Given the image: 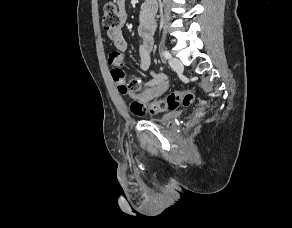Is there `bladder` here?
Instances as JSON below:
<instances>
[{
	"label": "bladder",
	"instance_id": "bladder-1",
	"mask_svg": "<svg viewBox=\"0 0 292 228\" xmlns=\"http://www.w3.org/2000/svg\"><path fill=\"white\" fill-rule=\"evenodd\" d=\"M178 115H179V112L172 111L158 118H151L150 120L165 125V124H168L173 119H175Z\"/></svg>",
	"mask_w": 292,
	"mask_h": 228
}]
</instances>
